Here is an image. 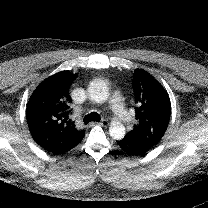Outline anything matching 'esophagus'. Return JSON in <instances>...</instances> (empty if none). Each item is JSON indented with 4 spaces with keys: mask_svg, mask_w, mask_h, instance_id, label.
<instances>
[{
    "mask_svg": "<svg viewBox=\"0 0 208 208\" xmlns=\"http://www.w3.org/2000/svg\"><path fill=\"white\" fill-rule=\"evenodd\" d=\"M93 124H98V125L107 127L109 125V122L106 119H102L100 122L93 123Z\"/></svg>",
    "mask_w": 208,
    "mask_h": 208,
    "instance_id": "obj_1",
    "label": "esophagus"
}]
</instances>
